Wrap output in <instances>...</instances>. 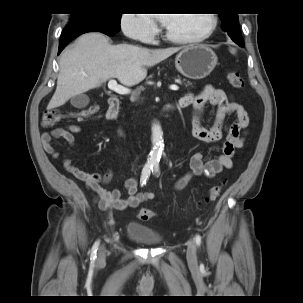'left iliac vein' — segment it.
Masks as SVG:
<instances>
[{"instance_id":"1","label":"left iliac vein","mask_w":303,"mask_h":303,"mask_svg":"<svg viewBox=\"0 0 303 303\" xmlns=\"http://www.w3.org/2000/svg\"><path fill=\"white\" fill-rule=\"evenodd\" d=\"M197 248L194 240H190L187 246V259L190 264L197 263Z\"/></svg>"}]
</instances>
